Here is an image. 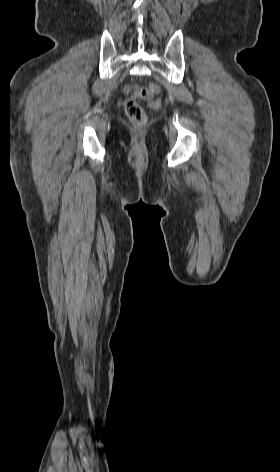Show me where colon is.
I'll return each instance as SVG.
<instances>
[{"label":"colon","mask_w":280,"mask_h":472,"mask_svg":"<svg viewBox=\"0 0 280 472\" xmlns=\"http://www.w3.org/2000/svg\"><path fill=\"white\" fill-rule=\"evenodd\" d=\"M160 93L157 83L151 82L144 87L135 89L126 99L124 107L125 113L130 121L136 126H143L146 123V113L141 107L140 100H152Z\"/></svg>","instance_id":"obj_1"}]
</instances>
